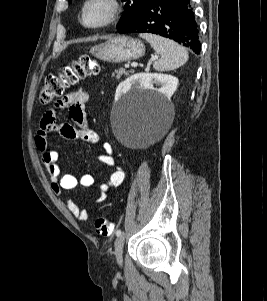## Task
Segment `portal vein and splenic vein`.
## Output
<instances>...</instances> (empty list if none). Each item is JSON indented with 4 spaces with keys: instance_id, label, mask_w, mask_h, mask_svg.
<instances>
[{
    "instance_id": "portal-vein-and-splenic-vein-1",
    "label": "portal vein and splenic vein",
    "mask_w": 267,
    "mask_h": 301,
    "mask_svg": "<svg viewBox=\"0 0 267 301\" xmlns=\"http://www.w3.org/2000/svg\"><path fill=\"white\" fill-rule=\"evenodd\" d=\"M157 58H158L157 56H155V57H152V58L150 59V62H152V61L156 60ZM132 66H136V65H132ZM125 67H126V68H128V67H129V65H125Z\"/></svg>"
}]
</instances>
